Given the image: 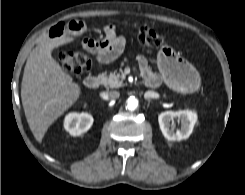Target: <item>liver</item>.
<instances>
[{"label":"liver","instance_id":"liver-1","mask_svg":"<svg viewBox=\"0 0 245 195\" xmlns=\"http://www.w3.org/2000/svg\"><path fill=\"white\" fill-rule=\"evenodd\" d=\"M72 37L49 39L30 53L21 84V100L28 125L40 143L53 122L80 97L81 87L52 57L53 49Z\"/></svg>","mask_w":245,"mask_h":195}]
</instances>
